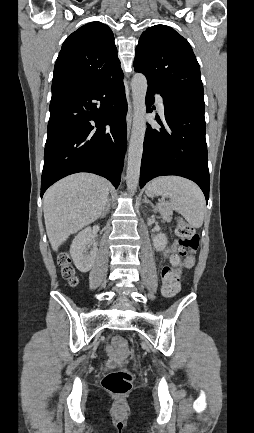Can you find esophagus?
<instances>
[{"mask_svg":"<svg viewBox=\"0 0 254 433\" xmlns=\"http://www.w3.org/2000/svg\"><path fill=\"white\" fill-rule=\"evenodd\" d=\"M132 117H133V111H132V105H130L129 109H128L127 117H126V119H127L128 136L130 135Z\"/></svg>","mask_w":254,"mask_h":433,"instance_id":"esophagus-1","label":"esophagus"}]
</instances>
